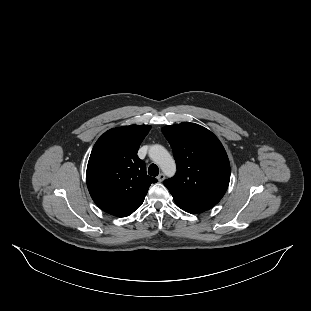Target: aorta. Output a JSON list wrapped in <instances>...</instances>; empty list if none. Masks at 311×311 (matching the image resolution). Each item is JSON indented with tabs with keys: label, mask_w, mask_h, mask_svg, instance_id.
<instances>
[{
	"label": "aorta",
	"mask_w": 311,
	"mask_h": 311,
	"mask_svg": "<svg viewBox=\"0 0 311 311\" xmlns=\"http://www.w3.org/2000/svg\"><path fill=\"white\" fill-rule=\"evenodd\" d=\"M149 157L166 175L172 176L175 173V161L162 145H153L149 150Z\"/></svg>",
	"instance_id": "762f6f07"
}]
</instances>
